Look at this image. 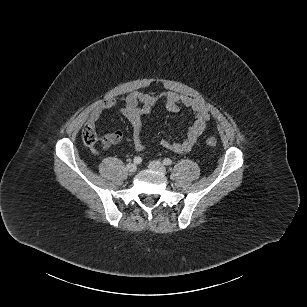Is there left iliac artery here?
<instances>
[{
	"label": "left iliac artery",
	"mask_w": 307,
	"mask_h": 307,
	"mask_svg": "<svg viewBox=\"0 0 307 307\" xmlns=\"http://www.w3.org/2000/svg\"><path fill=\"white\" fill-rule=\"evenodd\" d=\"M163 164L166 165V166H169V165L172 164V160L169 159V158H165V159L163 160Z\"/></svg>",
	"instance_id": "obj_1"
}]
</instances>
